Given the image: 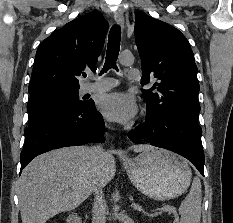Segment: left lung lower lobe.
Segmentation results:
<instances>
[{
  "mask_svg": "<svg viewBox=\"0 0 233 223\" xmlns=\"http://www.w3.org/2000/svg\"><path fill=\"white\" fill-rule=\"evenodd\" d=\"M202 130L198 119L174 116L161 120H149L128 132L130 140L137 144L151 145L171 150L192 162L204 176V152Z\"/></svg>",
  "mask_w": 233,
  "mask_h": 223,
  "instance_id": "obj_1",
  "label": "left lung lower lobe"
}]
</instances>
